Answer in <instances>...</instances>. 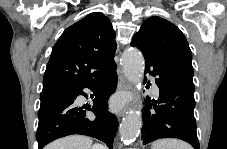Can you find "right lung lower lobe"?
I'll list each match as a JSON object with an SVG mask.
<instances>
[{"mask_svg": "<svg viewBox=\"0 0 227 149\" xmlns=\"http://www.w3.org/2000/svg\"><path fill=\"white\" fill-rule=\"evenodd\" d=\"M117 65L110 63L101 72L70 88L69 96L54 99L38 111V129L36 139L38 149L51 141L72 135L82 134L97 138L112 149L118 122L115 115L108 111V98L117 87ZM84 88L93 91V106L79 107L74 101L77 96L85 95ZM95 114V119L86 118V110Z\"/></svg>", "mask_w": 227, "mask_h": 149, "instance_id": "1", "label": "right lung lower lobe"}]
</instances>
